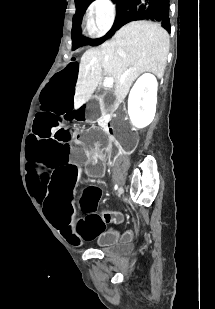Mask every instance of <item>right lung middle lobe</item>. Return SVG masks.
I'll use <instances>...</instances> for the list:
<instances>
[{
	"mask_svg": "<svg viewBox=\"0 0 215 309\" xmlns=\"http://www.w3.org/2000/svg\"><path fill=\"white\" fill-rule=\"evenodd\" d=\"M93 0H77L76 3V14L74 17V25L72 28V50H75L84 45H91L96 46L104 42L108 39L111 35L114 34L115 30L117 29V21L123 11L130 5L133 0H112L116 3V19L112 29L102 38L99 39H87L81 36V21L82 17L85 13L86 8Z\"/></svg>",
	"mask_w": 215,
	"mask_h": 309,
	"instance_id": "1",
	"label": "right lung middle lobe"
}]
</instances>
